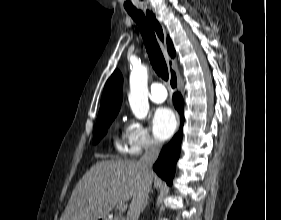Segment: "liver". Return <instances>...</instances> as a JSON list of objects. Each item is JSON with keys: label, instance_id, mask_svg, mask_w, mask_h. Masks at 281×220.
<instances>
[{"label": "liver", "instance_id": "obj_1", "mask_svg": "<svg viewBox=\"0 0 281 220\" xmlns=\"http://www.w3.org/2000/svg\"><path fill=\"white\" fill-rule=\"evenodd\" d=\"M142 179L137 161H99L77 183L60 220L105 219L117 204L133 197Z\"/></svg>", "mask_w": 281, "mask_h": 220}]
</instances>
